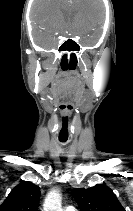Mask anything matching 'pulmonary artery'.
Instances as JSON below:
<instances>
[{"label":"pulmonary artery","mask_w":133,"mask_h":211,"mask_svg":"<svg viewBox=\"0 0 133 211\" xmlns=\"http://www.w3.org/2000/svg\"><path fill=\"white\" fill-rule=\"evenodd\" d=\"M63 211H77L73 206H67Z\"/></svg>","instance_id":"pulmonary-artery-1"}]
</instances>
